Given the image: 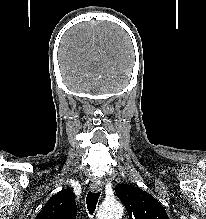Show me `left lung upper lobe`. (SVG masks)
I'll list each match as a JSON object with an SVG mask.
<instances>
[{"label":"left lung upper lobe","mask_w":206,"mask_h":219,"mask_svg":"<svg viewBox=\"0 0 206 219\" xmlns=\"http://www.w3.org/2000/svg\"><path fill=\"white\" fill-rule=\"evenodd\" d=\"M115 192L125 205L129 219H169L158 200L139 187L121 184L115 187Z\"/></svg>","instance_id":"5c2ea615"}]
</instances>
